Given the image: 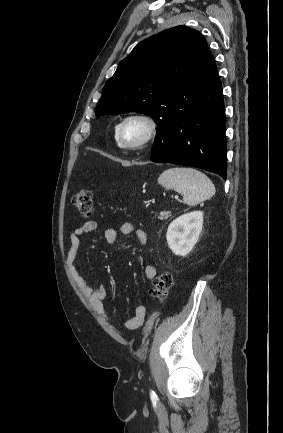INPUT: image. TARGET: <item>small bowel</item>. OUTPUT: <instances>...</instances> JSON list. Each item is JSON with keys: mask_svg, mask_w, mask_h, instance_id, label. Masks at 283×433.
I'll return each mask as SVG.
<instances>
[{"mask_svg": "<svg viewBox=\"0 0 283 433\" xmlns=\"http://www.w3.org/2000/svg\"><path fill=\"white\" fill-rule=\"evenodd\" d=\"M97 228L95 221L85 222L82 226L76 228L69 235V250L67 253V265L70 274L80 289V291L89 300L94 310L100 314L104 319L110 322L108 315L106 314L104 307V300L107 295L106 286L103 283H99L96 287H91L86 280L81 276L76 267V258L81 245V237L94 231ZM136 233V237L140 244L145 245L147 243V234L142 229H135L134 225L130 222H126L121 226L120 232L123 236H130L132 232ZM104 239L107 244L114 245L118 241V233L115 229L108 228L104 231ZM145 276L148 280H153L156 277V269L152 265H148L144 270ZM146 315V306L139 304L135 307L134 316L128 319L125 323L126 329L129 331L137 330L143 323Z\"/></svg>", "mask_w": 283, "mask_h": 433, "instance_id": "obj_1", "label": "small bowel"}]
</instances>
